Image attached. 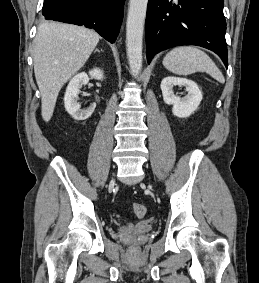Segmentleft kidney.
I'll return each mask as SVG.
<instances>
[{"label":"left kidney","mask_w":259,"mask_h":283,"mask_svg":"<svg viewBox=\"0 0 259 283\" xmlns=\"http://www.w3.org/2000/svg\"><path fill=\"white\" fill-rule=\"evenodd\" d=\"M183 86L188 94L181 98L174 94V86ZM163 100L167 105H173L172 113L179 118H187L197 110L202 101V93L198 85L191 80L178 77H165L161 82Z\"/></svg>","instance_id":"left-kidney-1"}]
</instances>
